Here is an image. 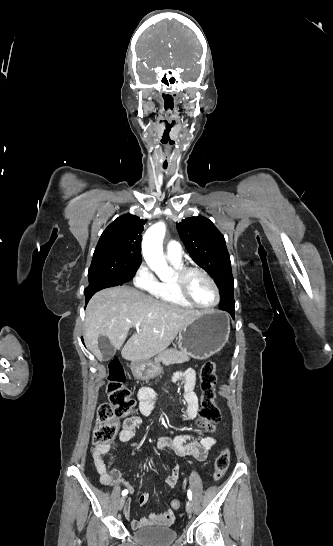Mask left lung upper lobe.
<instances>
[{"instance_id":"5c2ea615","label":"left lung upper lobe","mask_w":333,"mask_h":546,"mask_svg":"<svg viewBox=\"0 0 333 546\" xmlns=\"http://www.w3.org/2000/svg\"><path fill=\"white\" fill-rule=\"evenodd\" d=\"M176 226L192 259L214 278L220 290L219 308L234 317V280L224 236L203 216L186 218Z\"/></svg>"}]
</instances>
